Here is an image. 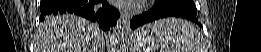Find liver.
<instances>
[{"label": "liver", "instance_id": "liver-1", "mask_svg": "<svg viewBox=\"0 0 261 52\" xmlns=\"http://www.w3.org/2000/svg\"><path fill=\"white\" fill-rule=\"evenodd\" d=\"M99 27L75 15L46 17L35 36V52H102Z\"/></svg>", "mask_w": 261, "mask_h": 52}]
</instances>
